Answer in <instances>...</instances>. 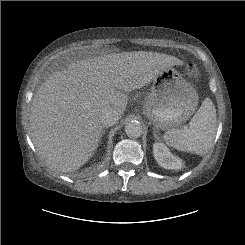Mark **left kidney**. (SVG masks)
Listing matches in <instances>:
<instances>
[{"label":"left kidney","mask_w":245,"mask_h":245,"mask_svg":"<svg viewBox=\"0 0 245 245\" xmlns=\"http://www.w3.org/2000/svg\"><path fill=\"white\" fill-rule=\"evenodd\" d=\"M153 154L158 164L165 169H181L182 167V160L174 156L161 142L153 145Z\"/></svg>","instance_id":"5707ae66"}]
</instances>
